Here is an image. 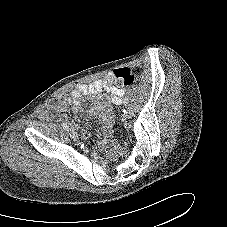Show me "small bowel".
I'll return each instance as SVG.
<instances>
[{"mask_svg": "<svg viewBox=\"0 0 227 227\" xmlns=\"http://www.w3.org/2000/svg\"><path fill=\"white\" fill-rule=\"evenodd\" d=\"M124 90L118 88L114 84V72L108 73L104 78L93 81L89 84L81 83L77 84L69 93L64 97H58L47 104L41 112L42 118L47 121H52L61 112L67 108L76 113H87L89 115L97 116L105 126L109 127L113 121V113L110 108L107 111L102 112L98 106H91L84 109L81 106L82 99L84 97H96L102 92L111 94V101L115 105H120L124 96ZM81 136L83 139H88L90 132L86 127H80Z\"/></svg>", "mask_w": 227, "mask_h": 227, "instance_id": "1", "label": "small bowel"}]
</instances>
